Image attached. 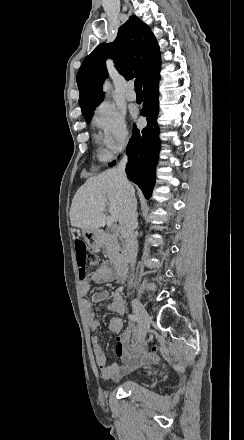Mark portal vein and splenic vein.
I'll use <instances>...</instances> for the list:
<instances>
[{
    "label": "portal vein and splenic vein",
    "mask_w": 244,
    "mask_h": 440,
    "mask_svg": "<svg viewBox=\"0 0 244 440\" xmlns=\"http://www.w3.org/2000/svg\"><path fill=\"white\" fill-rule=\"evenodd\" d=\"M114 222H115V218H112V216H107L106 218L107 226H113Z\"/></svg>",
    "instance_id": "1"
}]
</instances>
